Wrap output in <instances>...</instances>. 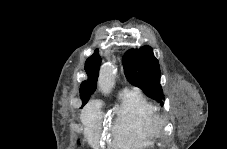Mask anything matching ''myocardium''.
Wrapping results in <instances>:
<instances>
[{
	"instance_id": "f54148a6",
	"label": "myocardium",
	"mask_w": 227,
	"mask_h": 149,
	"mask_svg": "<svg viewBox=\"0 0 227 149\" xmlns=\"http://www.w3.org/2000/svg\"><path fill=\"white\" fill-rule=\"evenodd\" d=\"M166 119L162 116L156 115L153 120V126L157 136H162L164 133V127L166 126Z\"/></svg>"
}]
</instances>
